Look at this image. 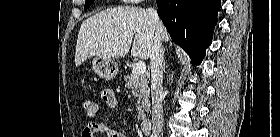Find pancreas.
<instances>
[{"instance_id":"pancreas-1","label":"pancreas","mask_w":280,"mask_h":137,"mask_svg":"<svg viewBox=\"0 0 280 137\" xmlns=\"http://www.w3.org/2000/svg\"><path fill=\"white\" fill-rule=\"evenodd\" d=\"M125 87L132 91L134 97L137 98V114L138 120L144 121L146 113L150 107V89L148 79L144 75H139L135 71L131 75L125 76Z\"/></svg>"}]
</instances>
